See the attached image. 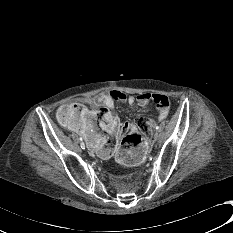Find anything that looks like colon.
Wrapping results in <instances>:
<instances>
[{"label":"colon","instance_id":"5ec220e1","mask_svg":"<svg viewBox=\"0 0 233 233\" xmlns=\"http://www.w3.org/2000/svg\"><path fill=\"white\" fill-rule=\"evenodd\" d=\"M82 106L76 103L63 105L58 112L59 119L65 125H70L74 122L76 116L81 112ZM108 111L104 108H100L96 111V118L103 120ZM127 134L122 140L123 149H132L137 145H142L147 136L149 135V127L146 122L141 118L137 121V128L135 126L128 125Z\"/></svg>","mask_w":233,"mask_h":233}]
</instances>
